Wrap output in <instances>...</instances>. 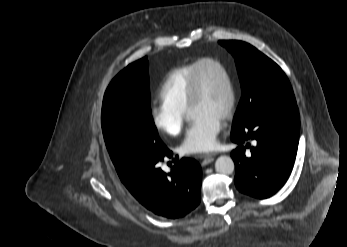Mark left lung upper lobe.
Here are the masks:
<instances>
[{"label": "left lung upper lobe", "instance_id": "5c2ea615", "mask_svg": "<svg viewBox=\"0 0 347 247\" xmlns=\"http://www.w3.org/2000/svg\"><path fill=\"white\" fill-rule=\"evenodd\" d=\"M233 55L242 96L232 129L272 106L296 104L293 90L282 69L255 47L242 41H219Z\"/></svg>", "mask_w": 347, "mask_h": 247}]
</instances>
